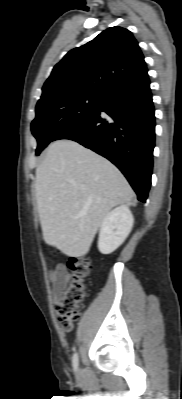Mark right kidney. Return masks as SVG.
<instances>
[{
  "instance_id": "right-kidney-1",
  "label": "right kidney",
  "mask_w": 182,
  "mask_h": 399,
  "mask_svg": "<svg viewBox=\"0 0 182 399\" xmlns=\"http://www.w3.org/2000/svg\"><path fill=\"white\" fill-rule=\"evenodd\" d=\"M134 218L128 206L121 205L109 212L102 221L98 249L102 254L114 252L129 235Z\"/></svg>"
}]
</instances>
